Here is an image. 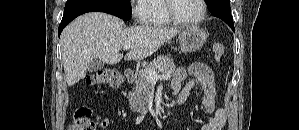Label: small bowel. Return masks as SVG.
<instances>
[{"mask_svg": "<svg viewBox=\"0 0 299 130\" xmlns=\"http://www.w3.org/2000/svg\"><path fill=\"white\" fill-rule=\"evenodd\" d=\"M188 76H190V79L182 86V83ZM171 86L178 98L183 100L187 98L195 87H198L203 92V107L206 112L213 114V118L210 122L203 124L200 130H223L225 128L227 112L224 108L217 105L214 75L212 69L207 64L195 62L187 68H177ZM109 123V118H103L100 121V127L107 128Z\"/></svg>", "mask_w": 299, "mask_h": 130, "instance_id": "1", "label": "small bowel"}]
</instances>
